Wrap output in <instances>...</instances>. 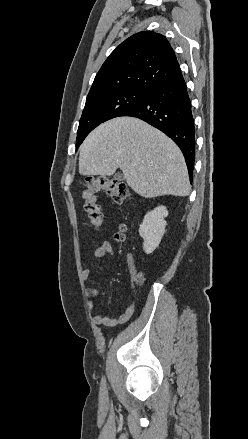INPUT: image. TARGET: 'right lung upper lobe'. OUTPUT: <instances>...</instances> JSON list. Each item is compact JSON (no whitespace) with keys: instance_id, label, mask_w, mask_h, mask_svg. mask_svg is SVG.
<instances>
[{"instance_id":"obj_1","label":"right lung upper lobe","mask_w":248,"mask_h":439,"mask_svg":"<svg viewBox=\"0 0 248 439\" xmlns=\"http://www.w3.org/2000/svg\"><path fill=\"white\" fill-rule=\"evenodd\" d=\"M181 74L165 36L145 31L122 42L97 73L86 101L124 89L149 93Z\"/></svg>"}]
</instances>
